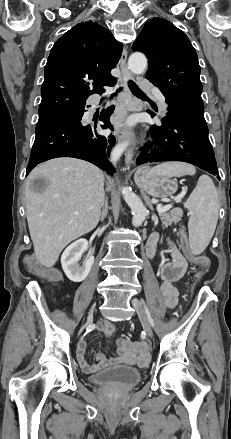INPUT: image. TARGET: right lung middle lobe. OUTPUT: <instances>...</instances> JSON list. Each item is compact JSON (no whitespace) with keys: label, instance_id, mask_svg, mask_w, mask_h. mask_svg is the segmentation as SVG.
<instances>
[{"label":"right lung middle lobe","instance_id":"right-lung-middle-lobe-1","mask_svg":"<svg viewBox=\"0 0 231 439\" xmlns=\"http://www.w3.org/2000/svg\"><path fill=\"white\" fill-rule=\"evenodd\" d=\"M76 111H72V112H68V113H65V114H61V115H58V116H55V117H52V118H49V119H45V120H38L37 124H42V123L50 121V120H54V119H58V118H62V117H67V116L75 113Z\"/></svg>","mask_w":231,"mask_h":439}]
</instances>
